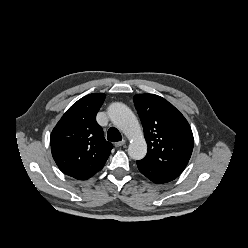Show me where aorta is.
I'll list each match as a JSON object with an SVG mask.
<instances>
[{
	"mask_svg": "<svg viewBox=\"0 0 248 248\" xmlns=\"http://www.w3.org/2000/svg\"><path fill=\"white\" fill-rule=\"evenodd\" d=\"M108 115L113 124L130 139L128 155L134 160L144 158L147 144L140 124L131 109L123 103L115 102L109 106Z\"/></svg>",
	"mask_w": 248,
	"mask_h": 248,
	"instance_id": "aorta-1",
	"label": "aorta"
}]
</instances>
